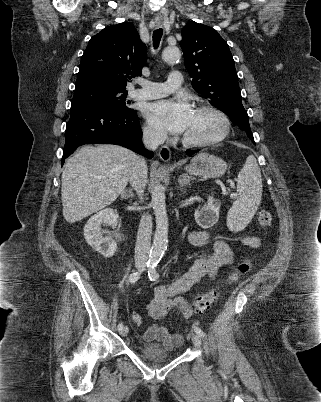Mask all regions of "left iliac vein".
Returning <instances> with one entry per match:
<instances>
[{
	"mask_svg": "<svg viewBox=\"0 0 321 402\" xmlns=\"http://www.w3.org/2000/svg\"><path fill=\"white\" fill-rule=\"evenodd\" d=\"M192 341H193V344H194L196 347H198V348L201 347L202 341H201V338H200V336H199L198 334H193V336H192Z\"/></svg>",
	"mask_w": 321,
	"mask_h": 402,
	"instance_id": "left-iliac-vein-1",
	"label": "left iliac vein"
}]
</instances>
